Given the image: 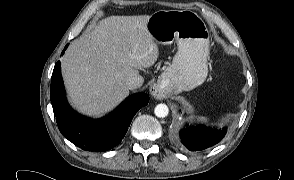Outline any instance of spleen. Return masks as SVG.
Returning a JSON list of instances; mask_svg holds the SVG:
<instances>
[{
  "label": "spleen",
  "mask_w": 294,
  "mask_h": 180,
  "mask_svg": "<svg viewBox=\"0 0 294 180\" xmlns=\"http://www.w3.org/2000/svg\"><path fill=\"white\" fill-rule=\"evenodd\" d=\"M192 118H196L198 121H201V122L208 121V118L204 117V116H196V117H192Z\"/></svg>",
  "instance_id": "1"
}]
</instances>
